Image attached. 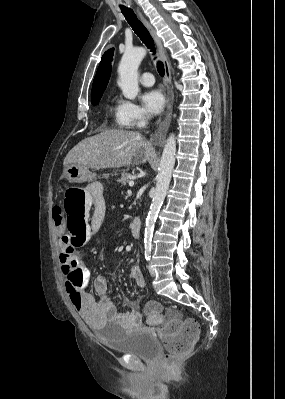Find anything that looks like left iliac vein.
I'll return each mask as SVG.
<instances>
[{
  "mask_svg": "<svg viewBox=\"0 0 285 399\" xmlns=\"http://www.w3.org/2000/svg\"><path fill=\"white\" fill-rule=\"evenodd\" d=\"M148 269H149L150 275H151L152 277H154V276L156 275L155 269H154L150 264H149V266H148Z\"/></svg>",
  "mask_w": 285,
  "mask_h": 399,
  "instance_id": "obj_1",
  "label": "left iliac vein"
}]
</instances>
